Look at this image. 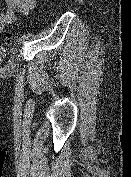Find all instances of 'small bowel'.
Returning a JSON list of instances; mask_svg holds the SVG:
<instances>
[{
    "label": "small bowel",
    "mask_w": 131,
    "mask_h": 177,
    "mask_svg": "<svg viewBox=\"0 0 131 177\" xmlns=\"http://www.w3.org/2000/svg\"><path fill=\"white\" fill-rule=\"evenodd\" d=\"M5 8L0 10V32L13 24L18 15H28L37 5V0H4Z\"/></svg>",
    "instance_id": "small-bowel-1"
}]
</instances>
